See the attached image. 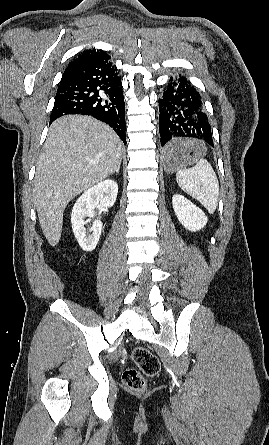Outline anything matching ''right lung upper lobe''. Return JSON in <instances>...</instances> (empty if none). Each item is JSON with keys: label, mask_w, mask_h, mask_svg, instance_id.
Masks as SVG:
<instances>
[{"label": "right lung upper lobe", "mask_w": 269, "mask_h": 445, "mask_svg": "<svg viewBox=\"0 0 269 445\" xmlns=\"http://www.w3.org/2000/svg\"><path fill=\"white\" fill-rule=\"evenodd\" d=\"M107 53L104 52L103 50H85L83 53H81L64 71V74H67L68 72H70L72 69L87 63L95 58L101 57L106 55Z\"/></svg>", "instance_id": "obj_1"}]
</instances>
